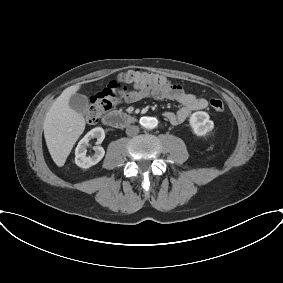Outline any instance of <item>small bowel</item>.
<instances>
[{
  "label": "small bowel",
  "instance_id": "small-bowel-1",
  "mask_svg": "<svg viewBox=\"0 0 283 283\" xmlns=\"http://www.w3.org/2000/svg\"><path fill=\"white\" fill-rule=\"evenodd\" d=\"M149 93L161 100H173L178 102L181 107L175 111L164 113L165 118L172 124L177 125L185 122L193 111L205 109L208 102L204 98H199L194 94L186 92L180 85L169 84L161 89L152 92H144L134 87L131 90L121 89L113 99L112 105L115 107L120 103H135L147 96Z\"/></svg>",
  "mask_w": 283,
  "mask_h": 283
}]
</instances>
